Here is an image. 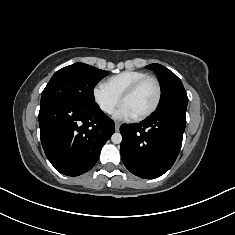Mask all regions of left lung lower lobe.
I'll use <instances>...</instances> for the list:
<instances>
[{"label": "left lung lower lobe", "instance_id": "1", "mask_svg": "<svg viewBox=\"0 0 235 235\" xmlns=\"http://www.w3.org/2000/svg\"><path fill=\"white\" fill-rule=\"evenodd\" d=\"M186 110L169 109L154 113L137 124H123L121 158L134 175L160 177L174 164L182 144Z\"/></svg>", "mask_w": 235, "mask_h": 235}]
</instances>
